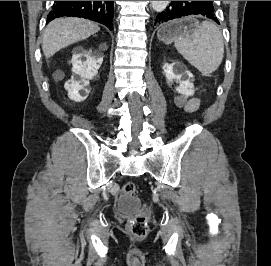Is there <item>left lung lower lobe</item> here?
Here are the masks:
<instances>
[{
  "mask_svg": "<svg viewBox=\"0 0 271 266\" xmlns=\"http://www.w3.org/2000/svg\"><path fill=\"white\" fill-rule=\"evenodd\" d=\"M197 14L219 24L213 1H171L166 10L157 15L155 23L160 24L182 16Z\"/></svg>",
  "mask_w": 271,
  "mask_h": 266,
  "instance_id": "0a47b994",
  "label": "left lung lower lobe"
}]
</instances>
